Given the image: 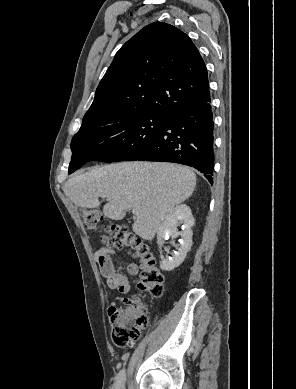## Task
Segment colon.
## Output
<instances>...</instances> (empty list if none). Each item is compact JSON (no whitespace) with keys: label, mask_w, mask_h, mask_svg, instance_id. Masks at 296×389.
<instances>
[{"label":"colon","mask_w":296,"mask_h":389,"mask_svg":"<svg viewBox=\"0 0 296 389\" xmlns=\"http://www.w3.org/2000/svg\"><path fill=\"white\" fill-rule=\"evenodd\" d=\"M81 218L90 230H98L102 224L99 210L81 208ZM102 241L115 249L133 250L140 261L141 272L138 288L152 297H159L164 289V276L157 265L149 245L127 227L108 225L103 227ZM122 307H111L108 316L111 324L113 343L120 348L132 346L147 325V308L139 298H124Z\"/></svg>","instance_id":"colon-1"}]
</instances>
